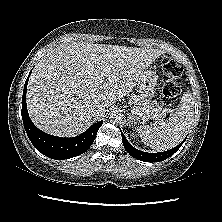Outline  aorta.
<instances>
[{
	"mask_svg": "<svg viewBox=\"0 0 222 222\" xmlns=\"http://www.w3.org/2000/svg\"><path fill=\"white\" fill-rule=\"evenodd\" d=\"M110 121L113 123V124H118L122 121V115L120 112L118 111H113L110 113Z\"/></svg>",
	"mask_w": 222,
	"mask_h": 222,
	"instance_id": "1",
	"label": "aorta"
}]
</instances>
